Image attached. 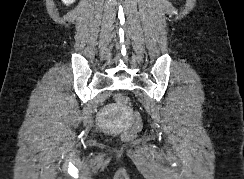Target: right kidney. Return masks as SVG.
Wrapping results in <instances>:
<instances>
[{
    "mask_svg": "<svg viewBox=\"0 0 244 179\" xmlns=\"http://www.w3.org/2000/svg\"><path fill=\"white\" fill-rule=\"evenodd\" d=\"M63 4H66V6H69V4H73L75 0H62Z\"/></svg>",
    "mask_w": 244,
    "mask_h": 179,
    "instance_id": "obj_1",
    "label": "right kidney"
}]
</instances>
